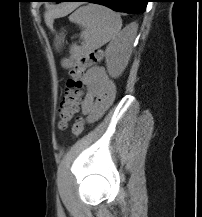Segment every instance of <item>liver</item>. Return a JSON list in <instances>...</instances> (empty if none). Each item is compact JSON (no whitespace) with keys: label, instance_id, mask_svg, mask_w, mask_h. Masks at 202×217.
Instances as JSON below:
<instances>
[{"label":"liver","instance_id":"1","mask_svg":"<svg viewBox=\"0 0 202 217\" xmlns=\"http://www.w3.org/2000/svg\"><path fill=\"white\" fill-rule=\"evenodd\" d=\"M75 8L72 4L61 5L51 11L45 13V21L50 25L54 18L62 17L70 13Z\"/></svg>","mask_w":202,"mask_h":217}]
</instances>
